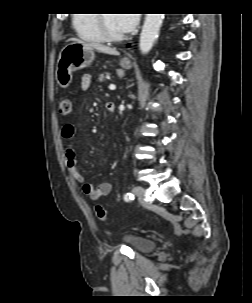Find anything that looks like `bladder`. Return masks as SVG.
<instances>
[{
  "label": "bladder",
  "instance_id": "1",
  "mask_svg": "<svg viewBox=\"0 0 252 303\" xmlns=\"http://www.w3.org/2000/svg\"><path fill=\"white\" fill-rule=\"evenodd\" d=\"M124 240L137 252L147 253L154 250L157 247V243L153 239H149L143 236L134 234H127L124 236Z\"/></svg>",
  "mask_w": 252,
  "mask_h": 303
}]
</instances>
